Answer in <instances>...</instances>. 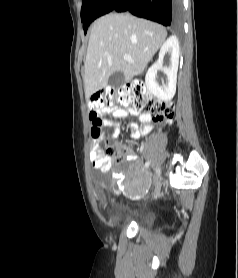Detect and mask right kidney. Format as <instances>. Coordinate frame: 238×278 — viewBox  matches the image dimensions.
I'll return each instance as SVG.
<instances>
[{
    "label": "right kidney",
    "mask_w": 238,
    "mask_h": 278,
    "mask_svg": "<svg viewBox=\"0 0 238 278\" xmlns=\"http://www.w3.org/2000/svg\"><path fill=\"white\" fill-rule=\"evenodd\" d=\"M167 52L171 53V65L164 68V73L168 77V83L159 86L156 82L157 72L162 69L163 59ZM179 63V42L174 36L167 39L159 51L157 62L150 67L145 77L147 89L159 100L167 101L173 98L176 91L177 71Z\"/></svg>",
    "instance_id": "obj_1"
}]
</instances>
